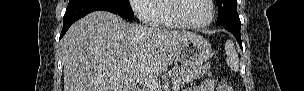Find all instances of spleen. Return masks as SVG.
Masks as SVG:
<instances>
[{
	"mask_svg": "<svg viewBox=\"0 0 304 91\" xmlns=\"http://www.w3.org/2000/svg\"><path fill=\"white\" fill-rule=\"evenodd\" d=\"M226 51V63L232 71L237 72L239 70V58L232 41L228 40L225 45Z\"/></svg>",
	"mask_w": 304,
	"mask_h": 91,
	"instance_id": "spleen-1",
	"label": "spleen"
}]
</instances>
